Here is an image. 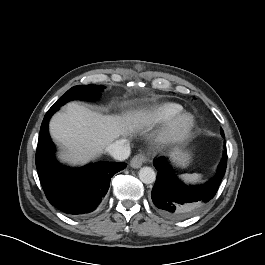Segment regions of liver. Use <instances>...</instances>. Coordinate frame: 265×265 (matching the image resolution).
<instances>
[{
	"label": "liver",
	"instance_id": "liver-1",
	"mask_svg": "<svg viewBox=\"0 0 265 265\" xmlns=\"http://www.w3.org/2000/svg\"><path fill=\"white\" fill-rule=\"evenodd\" d=\"M143 124L139 113L124 116L103 115L77 103H69L49 124L50 134L63 147L59 158L83 165L99 156L120 136H128Z\"/></svg>",
	"mask_w": 265,
	"mask_h": 265
}]
</instances>
